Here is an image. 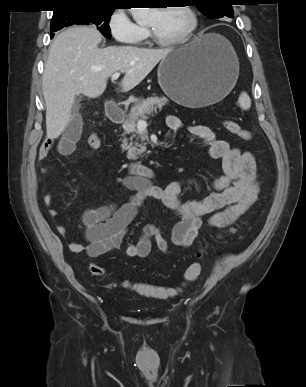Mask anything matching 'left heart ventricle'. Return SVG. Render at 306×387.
<instances>
[{
    "label": "left heart ventricle",
    "mask_w": 306,
    "mask_h": 387,
    "mask_svg": "<svg viewBox=\"0 0 306 387\" xmlns=\"http://www.w3.org/2000/svg\"><path fill=\"white\" fill-rule=\"evenodd\" d=\"M189 25L190 18L180 7L154 9L147 22V26L163 40H172L182 36Z\"/></svg>",
    "instance_id": "obj_1"
}]
</instances>
